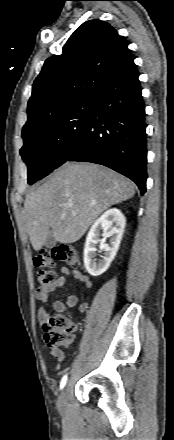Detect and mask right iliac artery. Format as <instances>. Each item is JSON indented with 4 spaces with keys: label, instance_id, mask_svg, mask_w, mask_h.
Wrapping results in <instances>:
<instances>
[{
    "label": "right iliac artery",
    "instance_id": "right-iliac-artery-1",
    "mask_svg": "<svg viewBox=\"0 0 174 440\" xmlns=\"http://www.w3.org/2000/svg\"><path fill=\"white\" fill-rule=\"evenodd\" d=\"M66 381H67V375H65V376L62 378L61 383H60V389H63V388H64V386L66 385Z\"/></svg>",
    "mask_w": 174,
    "mask_h": 440
}]
</instances>
